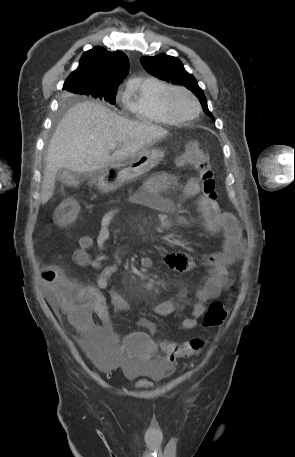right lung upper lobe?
<instances>
[{"instance_id":"obj_1","label":"right lung upper lobe","mask_w":295,"mask_h":457,"mask_svg":"<svg viewBox=\"0 0 295 457\" xmlns=\"http://www.w3.org/2000/svg\"><path fill=\"white\" fill-rule=\"evenodd\" d=\"M128 69V58L123 52L94 47L82 55L78 68L66 79L63 89L72 92L75 84L92 89L118 87Z\"/></svg>"}]
</instances>
